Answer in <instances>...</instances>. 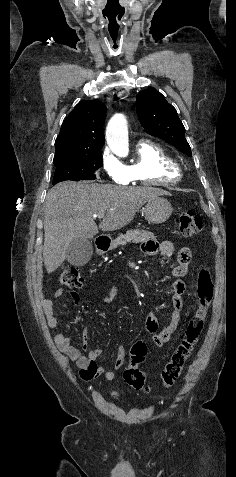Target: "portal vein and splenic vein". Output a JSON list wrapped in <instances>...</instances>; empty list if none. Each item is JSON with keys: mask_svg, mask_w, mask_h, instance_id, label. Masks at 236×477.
<instances>
[{"mask_svg": "<svg viewBox=\"0 0 236 477\" xmlns=\"http://www.w3.org/2000/svg\"><path fill=\"white\" fill-rule=\"evenodd\" d=\"M105 214L104 213H99V214H94L93 215V218H99V219H102L104 218Z\"/></svg>", "mask_w": 236, "mask_h": 477, "instance_id": "18ae733b", "label": "portal vein and splenic vein"}]
</instances>
